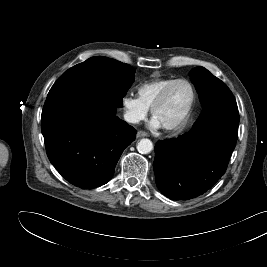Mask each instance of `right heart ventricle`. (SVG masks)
Instances as JSON below:
<instances>
[{"mask_svg": "<svg viewBox=\"0 0 267 267\" xmlns=\"http://www.w3.org/2000/svg\"><path fill=\"white\" fill-rule=\"evenodd\" d=\"M174 80L176 79L158 78L147 81L139 86L138 96L148 107H150L160 91Z\"/></svg>", "mask_w": 267, "mask_h": 267, "instance_id": "obj_1", "label": "right heart ventricle"}]
</instances>
